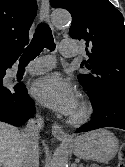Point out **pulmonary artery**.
Here are the masks:
<instances>
[{
	"label": "pulmonary artery",
	"instance_id": "1",
	"mask_svg": "<svg viewBox=\"0 0 125 167\" xmlns=\"http://www.w3.org/2000/svg\"><path fill=\"white\" fill-rule=\"evenodd\" d=\"M61 54L64 57L72 58L76 56L78 51L75 40H63L60 43ZM53 68V58L51 56H44L37 59L29 67L26 68L29 74H44Z\"/></svg>",
	"mask_w": 125,
	"mask_h": 167
}]
</instances>
